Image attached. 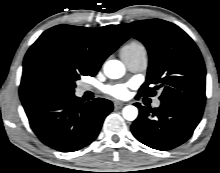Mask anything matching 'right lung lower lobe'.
Instances as JSON below:
<instances>
[{
	"instance_id": "98d812e1",
	"label": "right lung lower lobe",
	"mask_w": 220,
	"mask_h": 173,
	"mask_svg": "<svg viewBox=\"0 0 220 173\" xmlns=\"http://www.w3.org/2000/svg\"><path fill=\"white\" fill-rule=\"evenodd\" d=\"M22 103L37 137L61 152L76 151L91 143L113 110L109 100L96 98L83 104L74 93L41 94Z\"/></svg>"
}]
</instances>
